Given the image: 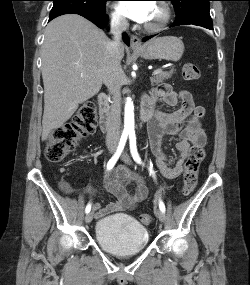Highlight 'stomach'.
I'll return each instance as SVG.
<instances>
[{
	"label": "stomach",
	"mask_w": 250,
	"mask_h": 285,
	"mask_svg": "<svg viewBox=\"0 0 250 285\" xmlns=\"http://www.w3.org/2000/svg\"><path fill=\"white\" fill-rule=\"evenodd\" d=\"M135 52L147 60H168L177 62L184 53L182 40L175 36L157 37Z\"/></svg>",
	"instance_id": "obj_1"
}]
</instances>
